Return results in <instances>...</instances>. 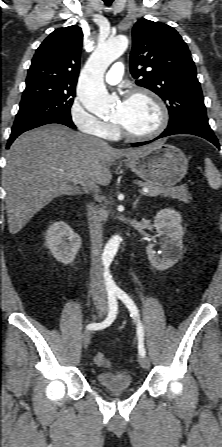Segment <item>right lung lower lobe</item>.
<instances>
[{
	"label": "right lung lower lobe",
	"mask_w": 222,
	"mask_h": 447,
	"mask_svg": "<svg viewBox=\"0 0 222 447\" xmlns=\"http://www.w3.org/2000/svg\"><path fill=\"white\" fill-rule=\"evenodd\" d=\"M51 123L63 124V125H66V126H68V127H70V128H73V129L76 128V126L73 124V122H72L71 119L55 118V119H52V120H48V121L43 122V123H41V124H39V125L30 127V128L24 129V130H20V131L12 132L11 135H10V138L8 139L7 148H9L10 145H11V143H12V142H13V141H14L20 134H22L23 132L28 131V130L33 129V128H36V127H39V126H42V125H45V124H51Z\"/></svg>",
	"instance_id": "98d812e1"
}]
</instances>
